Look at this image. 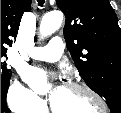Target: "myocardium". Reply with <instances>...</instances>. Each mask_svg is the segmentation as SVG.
Here are the masks:
<instances>
[{
	"label": "myocardium",
	"mask_w": 121,
	"mask_h": 113,
	"mask_svg": "<svg viewBox=\"0 0 121 113\" xmlns=\"http://www.w3.org/2000/svg\"><path fill=\"white\" fill-rule=\"evenodd\" d=\"M64 87L87 93L91 98H93L95 101H97L99 103V105L101 106V110L98 113H106L107 112V110H108L107 102L100 94H98L90 86L83 84V83H78V82H67L64 85ZM50 109L53 113H59L58 111H56L52 102L50 103Z\"/></svg>",
	"instance_id": "myocardium-1"
}]
</instances>
